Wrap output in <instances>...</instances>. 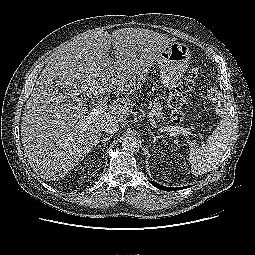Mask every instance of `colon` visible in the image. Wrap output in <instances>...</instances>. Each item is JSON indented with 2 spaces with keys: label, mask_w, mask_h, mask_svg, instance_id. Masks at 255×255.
<instances>
[{
  "label": "colon",
  "mask_w": 255,
  "mask_h": 255,
  "mask_svg": "<svg viewBox=\"0 0 255 255\" xmlns=\"http://www.w3.org/2000/svg\"><path fill=\"white\" fill-rule=\"evenodd\" d=\"M197 74H198V68L196 67L192 68L189 74L177 84L175 90L171 93L169 97V105L171 108V118L173 122L175 123H180L184 118V111H183V107L185 104L184 95L186 92H188L191 89L193 80L197 76ZM207 95L210 100L215 101L219 97V91L215 88H210L207 91Z\"/></svg>",
  "instance_id": "5ec220e1"
}]
</instances>
